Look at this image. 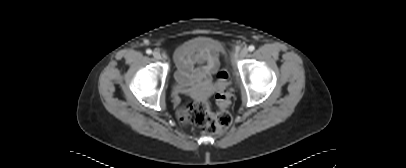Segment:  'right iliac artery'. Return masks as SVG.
I'll list each match as a JSON object with an SVG mask.
<instances>
[{
	"instance_id": "82829eb1",
	"label": "right iliac artery",
	"mask_w": 406,
	"mask_h": 168,
	"mask_svg": "<svg viewBox=\"0 0 406 168\" xmlns=\"http://www.w3.org/2000/svg\"><path fill=\"white\" fill-rule=\"evenodd\" d=\"M146 53H147L148 55H150V54L152 53V50H151V49H147V50H146Z\"/></svg>"
}]
</instances>
